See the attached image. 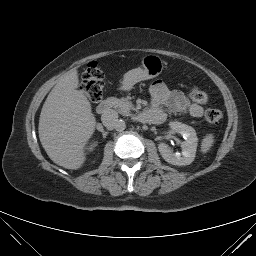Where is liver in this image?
I'll return each instance as SVG.
<instances>
[{
    "label": "liver",
    "mask_w": 256,
    "mask_h": 256,
    "mask_svg": "<svg viewBox=\"0 0 256 256\" xmlns=\"http://www.w3.org/2000/svg\"><path fill=\"white\" fill-rule=\"evenodd\" d=\"M76 69L65 73L49 93L39 118V138L49 158L66 169L85 162L84 148L95 131L96 119L83 91L77 90Z\"/></svg>",
    "instance_id": "obj_1"
}]
</instances>
